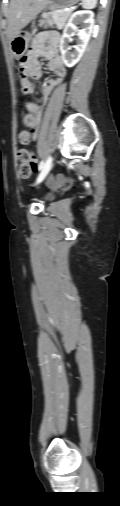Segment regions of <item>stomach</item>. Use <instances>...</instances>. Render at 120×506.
<instances>
[{
	"label": "stomach",
	"mask_w": 120,
	"mask_h": 506,
	"mask_svg": "<svg viewBox=\"0 0 120 506\" xmlns=\"http://www.w3.org/2000/svg\"><path fill=\"white\" fill-rule=\"evenodd\" d=\"M79 0H49L47 8L50 10L64 9L77 4ZM31 35L25 31H19L11 40L10 47L15 58H21L28 50Z\"/></svg>",
	"instance_id": "obj_1"
}]
</instances>
